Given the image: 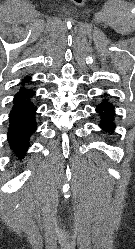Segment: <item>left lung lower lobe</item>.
Returning <instances> with one entry per match:
<instances>
[{"instance_id": "obj_1", "label": "left lung lower lobe", "mask_w": 135, "mask_h": 249, "mask_svg": "<svg viewBox=\"0 0 135 249\" xmlns=\"http://www.w3.org/2000/svg\"><path fill=\"white\" fill-rule=\"evenodd\" d=\"M102 101L96 106L95 111L100 116L99 126L106 132L113 134L116 127L115 124V106L109 99V95L101 96Z\"/></svg>"}]
</instances>
